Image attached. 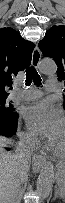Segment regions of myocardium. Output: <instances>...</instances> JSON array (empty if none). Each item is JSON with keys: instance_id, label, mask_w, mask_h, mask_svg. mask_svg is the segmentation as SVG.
I'll return each mask as SVG.
<instances>
[{"instance_id": "myocardium-1", "label": "myocardium", "mask_w": 65, "mask_h": 203, "mask_svg": "<svg viewBox=\"0 0 65 203\" xmlns=\"http://www.w3.org/2000/svg\"><path fill=\"white\" fill-rule=\"evenodd\" d=\"M50 150L55 156L58 157H64L65 156V150L64 151H59L58 149L54 148L52 144H50Z\"/></svg>"}]
</instances>
